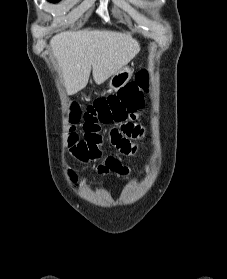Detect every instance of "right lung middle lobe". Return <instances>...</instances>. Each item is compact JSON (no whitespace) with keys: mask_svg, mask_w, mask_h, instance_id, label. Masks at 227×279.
<instances>
[{"mask_svg":"<svg viewBox=\"0 0 227 279\" xmlns=\"http://www.w3.org/2000/svg\"><path fill=\"white\" fill-rule=\"evenodd\" d=\"M50 2H58L59 0H49Z\"/></svg>","mask_w":227,"mask_h":279,"instance_id":"1","label":"right lung middle lobe"}]
</instances>
